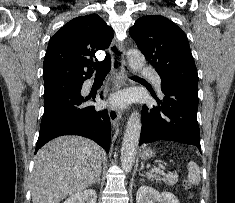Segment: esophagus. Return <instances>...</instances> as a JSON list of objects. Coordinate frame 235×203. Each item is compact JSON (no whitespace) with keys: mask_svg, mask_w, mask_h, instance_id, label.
<instances>
[{"mask_svg":"<svg viewBox=\"0 0 235 203\" xmlns=\"http://www.w3.org/2000/svg\"><path fill=\"white\" fill-rule=\"evenodd\" d=\"M109 51L112 58L111 77L113 79V85L111 91L114 92L125 83V76L123 74L125 66L124 44L117 39H113ZM108 114L113 126H117L118 122L122 119L121 111L111 105L108 109Z\"/></svg>","mask_w":235,"mask_h":203,"instance_id":"34e87169","label":"esophagus"}]
</instances>
